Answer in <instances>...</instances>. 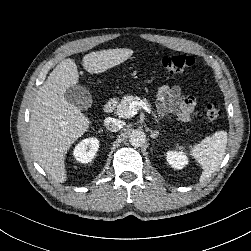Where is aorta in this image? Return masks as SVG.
Segmentation results:
<instances>
[{"instance_id": "obj_1", "label": "aorta", "mask_w": 251, "mask_h": 251, "mask_svg": "<svg viewBox=\"0 0 251 251\" xmlns=\"http://www.w3.org/2000/svg\"><path fill=\"white\" fill-rule=\"evenodd\" d=\"M146 141V136L144 132L135 130L129 136V142L133 147H141Z\"/></svg>"}]
</instances>
